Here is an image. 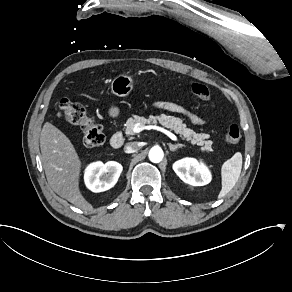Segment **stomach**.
Listing matches in <instances>:
<instances>
[{"label": "stomach", "mask_w": 292, "mask_h": 292, "mask_svg": "<svg viewBox=\"0 0 292 292\" xmlns=\"http://www.w3.org/2000/svg\"><path fill=\"white\" fill-rule=\"evenodd\" d=\"M134 89V78L128 74L115 76L110 83L111 93L118 97H127ZM107 116L117 119L121 114V109L117 105H111L107 109Z\"/></svg>", "instance_id": "stomach-1"}]
</instances>
